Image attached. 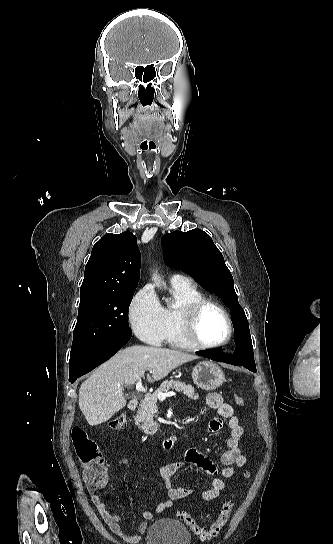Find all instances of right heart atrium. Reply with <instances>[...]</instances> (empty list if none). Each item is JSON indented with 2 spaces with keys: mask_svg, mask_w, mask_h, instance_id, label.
Listing matches in <instances>:
<instances>
[{
  "mask_svg": "<svg viewBox=\"0 0 333 544\" xmlns=\"http://www.w3.org/2000/svg\"><path fill=\"white\" fill-rule=\"evenodd\" d=\"M129 323L134 334L142 341L160 346L166 338L167 322L164 308L149 286L133 297L128 310Z\"/></svg>",
  "mask_w": 333,
  "mask_h": 544,
  "instance_id": "d8ad5b80",
  "label": "right heart atrium"
}]
</instances>
